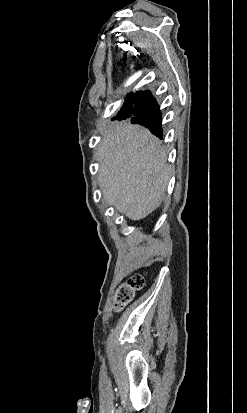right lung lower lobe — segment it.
<instances>
[{"instance_id": "98d812e1", "label": "right lung lower lobe", "mask_w": 247, "mask_h": 413, "mask_svg": "<svg viewBox=\"0 0 247 413\" xmlns=\"http://www.w3.org/2000/svg\"><path fill=\"white\" fill-rule=\"evenodd\" d=\"M131 118L132 123L147 127L151 133L162 138L161 113L155 99L148 91L138 92L127 99L117 116L112 120Z\"/></svg>"}]
</instances>
